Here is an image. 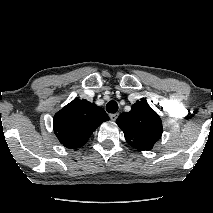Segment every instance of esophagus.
Instances as JSON below:
<instances>
[{
    "instance_id": "esophagus-1",
    "label": "esophagus",
    "mask_w": 213,
    "mask_h": 213,
    "mask_svg": "<svg viewBox=\"0 0 213 213\" xmlns=\"http://www.w3.org/2000/svg\"><path fill=\"white\" fill-rule=\"evenodd\" d=\"M109 117H110V119L112 121H115L117 119V117H118V114L117 113H113V114H110Z\"/></svg>"
}]
</instances>
